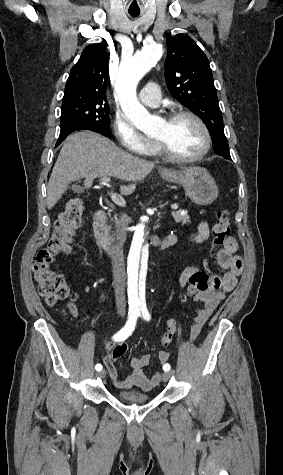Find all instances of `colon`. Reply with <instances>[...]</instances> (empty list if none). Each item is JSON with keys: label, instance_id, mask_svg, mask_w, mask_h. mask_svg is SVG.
Segmentation results:
<instances>
[{"label": "colon", "instance_id": "5ec220e1", "mask_svg": "<svg viewBox=\"0 0 283 475\" xmlns=\"http://www.w3.org/2000/svg\"><path fill=\"white\" fill-rule=\"evenodd\" d=\"M84 216V208L81 200L71 199L65 209L60 213L55 223V228L49 245L38 251L34 259V280L38 286L40 296L47 306H54L58 302L65 301L70 295V285L64 277L55 273L51 266L55 259L70 251V241L75 230L81 225ZM230 216L229 211L222 209L216 212V222L212 226V245L220 247L229 237ZM213 276L207 269L193 272L190 276L187 293L196 295L204 291L212 284ZM75 306L70 305V311L74 312ZM177 332L175 319L167 322L166 329L161 336V345L167 347ZM169 355L168 350L163 349L158 356L160 363H165Z\"/></svg>", "mask_w": 283, "mask_h": 475}]
</instances>
